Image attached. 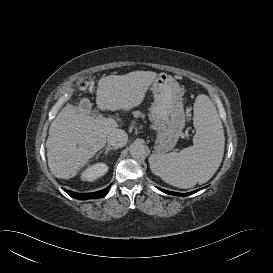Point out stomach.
<instances>
[{"label": "stomach", "instance_id": "1", "mask_svg": "<svg viewBox=\"0 0 273 273\" xmlns=\"http://www.w3.org/2000/svg\"><path fill=\"white\" fill-rule=\"evenodd\" d=\"M151 85L154 102L150 116L157 130L156 151L164 153L174 148L185 127L183 92L176 79L166 73H160Z\"/></svg>", "mask_w": 273, "mask_h": 273}]
</instances>
